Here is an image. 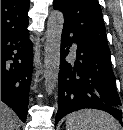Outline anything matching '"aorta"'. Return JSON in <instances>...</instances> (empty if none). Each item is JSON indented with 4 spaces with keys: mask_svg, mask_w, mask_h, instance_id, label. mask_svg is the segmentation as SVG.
<instances>
[{
    "mask_svg": "<svg viewBox=\"0 0 123 130\" xmlns=\"http://www.w3.org/2000/svg\"><path fill=\"white\" fill-rule=\"evenodd\" d=\"M63 24V13L58 10L52 11L47 22L44 59V78L47 94L53 93L58 82Z\"/></svg>",
    "mask_w": 123,
    "mask_h": 130,
    "instance_id": "1",
    "label": "aorta"
}]
</instances>
